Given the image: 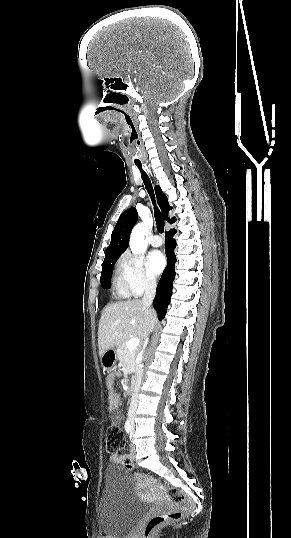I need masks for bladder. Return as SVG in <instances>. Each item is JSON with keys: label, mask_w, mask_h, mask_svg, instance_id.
Returning a JSON list of instances; mask_svg holds the SVG:
<instances>
[{"label": "bladder", "mask_w": 291, "mask_h": 538, "mask_svg": "<svg viewBox=\"0 0 291 538\" xmlns=\"http://www.w3.org/2000/svg\"><path fill=\"white\" fill-rule=\"evenodd\" d=\"M150 509L137 497L130 473L120 465H109L99 503V525L105 538H126Z\"/></svg>", "instance_id": "1"}]
</instances>
